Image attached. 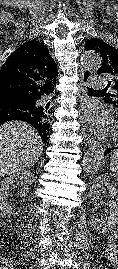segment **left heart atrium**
<instances>
[{"mask_svg": "<svg viewBox=\"0 0 118 269\" xmlns=\"http://www.w3.org/2000/svg\"><path fill=\"white\" fill-rule=\"evenodd\" d=\"M80 120L87 129L96 132L105 131L110 124L108 114L93 106H86L83 109Z\"/></svg>", "mask_w": 118, "mask_h": 269, "instance_id": "1", "label": "left heart atrium"}]
</instances>
